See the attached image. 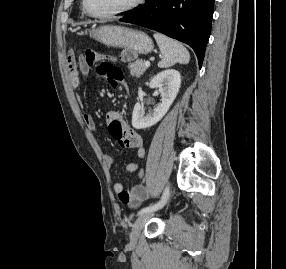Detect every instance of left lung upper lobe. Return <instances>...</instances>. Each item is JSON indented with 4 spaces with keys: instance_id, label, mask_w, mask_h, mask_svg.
<instances>
[{
    "instance_id": "left-lung-upper-lobe-1",
    "label": "left lung upper lobe",
    "mask_w": 286,
    "mask_h": 269,
    "mask_svg": "<svg viewBox=\"0 0 286 269\" xmlns=\"http://www.w3.org/2000/svg\"><path fill=\"white\" fill-rule=\"evenodd\" d=\"M148 0H146V2H147ZM140 7H136L135 9H133V10H131V11H128L129 13H131V12H133V11H135V10H138Z\"/></svg>"
}]
</instances>
